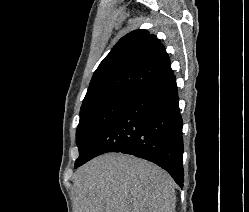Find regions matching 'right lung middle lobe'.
<instances>
[{
  "mask_svg": "<svg viewBox=\"0 0 249 212\" xmlns=\"http://www.w3.org/2000/svg\"><path fill=\"white\" fill-rule=\"evenodd\" d=\"M138 95L135 92L116 91L83 101L76 131L79 158L75 162V168L84 163L104 130Z\"/></svg>",
  "mask_w": 249,
  "mask_h": 212,
  "instance_id": "dd1d6c3e",
  "label": "right lung middle lobe"
}]
</instances>
